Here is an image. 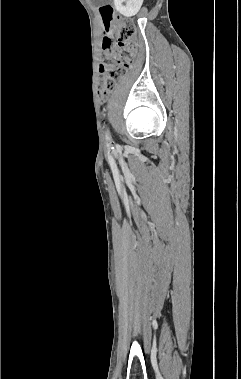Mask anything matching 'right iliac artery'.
<instances>
[{
    "label": "right iliac artery",
    "instance_id": "obj_1",
    "mask_svg": "<svg viewBox=\"0 0 241 379\" xmlns=\"http://www.w3.org/2000/svg\"><path fill=\"white\" fill-rule=\"evenodd\" d=\"M106 140H107V146L110 147L111 146V140H110L108 133L106 134Z\"/></svg>",
    "mask_w": 241,
    "mask_h": 379
}]
</instances>
